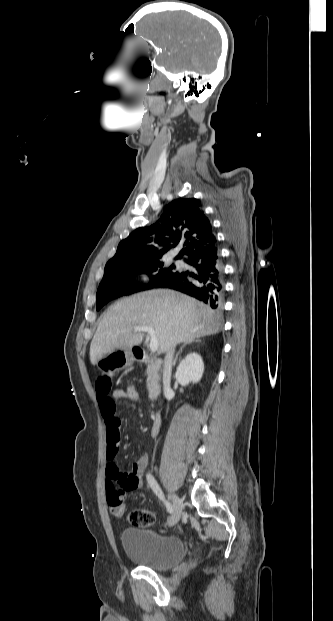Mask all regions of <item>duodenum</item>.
<instances>
[{"mask_svg":"<svg viewBox=\"0 0 333 621\" xmlns=\"http://www.w3.org/2000/svg\"><path fill=\"white\" fill-rule=\"evenodd\" d=\"M133 354L138 362L149 364L156 370H159L161 368L162 361L160 359L149 356L145 351L141 349H135ZM160 426L161 421L159 419H156L151 427V434L153 436L158 434Z\"/></svg>","mask_w":333,"mask_h":621,"instance_id":"410a0bca","label":"duodenum"}]
</instances>
